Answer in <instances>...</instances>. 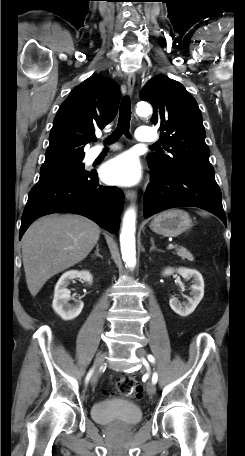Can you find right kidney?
<instances>
[{"mask_svg": "<svg viewBox=\"0 0 245 456\" xmlns=\"http://www.w3.org/2000/svg\"><path fill=\"white\" fill-rule=\"evenodd\" d=\"M76 278H80L88 284H92L93 280L92 275L88 271H67L60 277L54 290V299L52 304L53 309L63 320L66 321L76 318L84 307V303L82 301H77L74 305L69 303L71 296L67 286L70 281Z\"/></svg>", "mask_w": 245, "mask_h": 456, "instance_id": "obj_1", "label": "right kidney"}]
</instances>
